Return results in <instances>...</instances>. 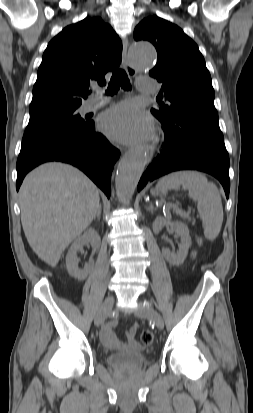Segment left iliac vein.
Wrapping results in <instances>:
<instances>
[{
    "label": "left iliac vein",
    "mask_w": 253,
    "mask_h": 413,
    "mask_svg": "<svg viewBox=\"0 0 253 413\" xmlns=\"http://www.w3.org/2000/svg\"><path fill=\"white\" fill-rule=\"evenodd\" d=\"M137 317L140 318H149L152 319L158 329L164 328V321L162 316L154 309L150 308L149 305L145 303H140L138 309L134 313Z\"/></svg>",
    "instance_id": "4c4485c4"
}]
</instances>
